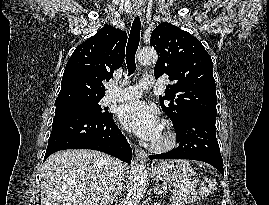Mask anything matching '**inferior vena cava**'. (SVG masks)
I'll return each mask as SVG.
<instances>
[{"label": "inferior vena cava", "instance_id": "inferior-vena-cava-1", "mask_svg": "<svg viewBox=\"0 0 269 205\" xmlns=\"http://www.w3.org/2000/svg\"><path fill=\"white\" fill-rule=\"evenodd\" d=\"M123 167L116 159H110L108 163L107 177L104 195L101 205H110L121 194L123 186Z\"/></svg>", "mask_w": 269, "mask_h": 205}]
</instances>
